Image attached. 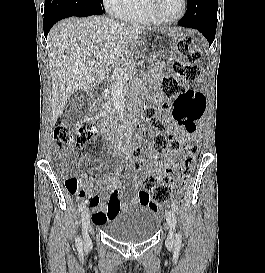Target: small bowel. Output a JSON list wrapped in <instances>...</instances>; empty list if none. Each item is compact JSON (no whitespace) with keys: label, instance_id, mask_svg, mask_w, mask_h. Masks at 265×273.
Here are the masks:
<instances>
[{"label":"small bowel","instance_id":"small-bowel-1","mask_svg":"<svg viewBox=\"0 0 265 273\" xmlns=\"http://www.w3.org/2000/svg\"><path fill=\"white\" fill-rule=\"evenodd\" d=\"M183 61L182 58H179ZM168 122V120H166ZM183 128H178L176 134L183 138L182 135ZM167 134L173 136L174 134L170 129H167ZM112 152L116 155L130 156L132 152V147L126 145L123 147L113 146ZM148 156L153 160L152 162L143 164L141 161L140 170L142 174H153L159 179H162L167 174L173 172L174 167L179 161V153L171 149L165 150L161 155H158L152 151L148 152ZM123 170L121 167H115L110 176H104L100 178L97 182L98 185H108L112 188V195L110 196L107 203H104L101 197L92 192L94 186L93 182H84V195L78 197L82 202L86 203L89 207L93 209L92 220L95 226L103 227L119 210L126 207V203L122 202L123 192L121 189V175ZM133 187L137 190L134 191V198L132 202L134 204H150L151 194L149 190H142L141 179L137 175H133Z\"/></svg>","mask_w":265,"mask_h":273}]
</instances>
